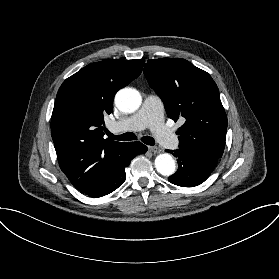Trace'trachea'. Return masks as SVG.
I'll list each match as a JSON object with an SVG mask.
<instances>
[{
	"label": "trachea",
	"instance_id": "trachea-1",
	"mask_svg": "<svg viewBox=\"0 0 279 279\" xmlns=\"http://www.w3.org/2000/svg\"><path fill=\"white\" fill-rule=\"evenodd\" d=\"M109 139L112 140H120V141H126V140H135L137 139L136 135L132 132H127L124 133L122 135H113L111 132H109L108 130L106 131ZM142 142L147 144V145H154L155 144V140L152 137L149 136H144L141 138Z\"/></svg>",
	"mask_w": 279,
	"mask_h": 279
}]
</instances>
